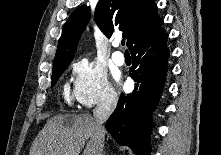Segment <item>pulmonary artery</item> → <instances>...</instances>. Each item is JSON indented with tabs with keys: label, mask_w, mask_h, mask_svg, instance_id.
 I'll use <instances>...</instances> for the list:
<instances>
[{
	"label": "pulmonary artery",
	"mask_w": 221,
	"mask_h": 155,
	"mask_svg": "<svg viewBox=\"0 0 221 155\" xmlns=\"http://www.w3.org/2000/svg\"><path fill=\"white\" fill-rule=\"evenodd\" d=\"M114 46L118 47L119 46V41H115L114 42ZM112 60L113 62L118 65V66H122L125 63V57L124 54L120 51H115L112 54Z\"/></svg>",
	"instance_id": "e3ab8cb5"
}]
</instances>
